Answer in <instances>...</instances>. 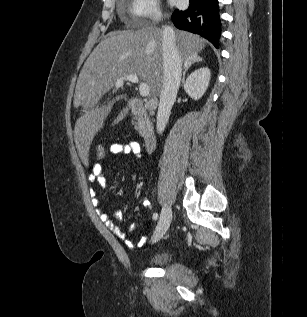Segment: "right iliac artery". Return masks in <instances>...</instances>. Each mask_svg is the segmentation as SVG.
Instances as JSON below:
<instances>
[{
	"label": "right iliac artery",
	"instance_id": "right-iliac-artery-1",
	"mask_svg": "<svg viewBox=\"0 0 307 317\" xmlns=\"http://www.w3.org/2000/svg\"><path fill=\"white\" fill-rule=\"evenodd\" d=\"M158 218V214L157 213H155L154 215H153V219H157Z\"/></svg>",
	"mask_w": 307,
	"mask_h": 317
}]
</instances>
